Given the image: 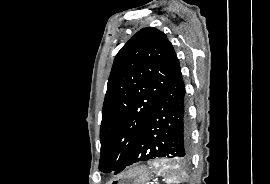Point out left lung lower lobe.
<instances>
[{
  "mask_svg": "<svg viewBox=\"0 0 270 184\" xmlns=\"http://www.w3.org/2000/svg\"><path fill=\"white\" fill-rule=\"evenodd\" d=\"M190 145L186 91L179 66L157 101L125 167L156 158L187 161Z\"/></svg>",
  "mask_w": 270,
  "mask_h": 184,
  "instance_id": "obj_1",
  "label": "left lung lower lobe"
}]
</instances>
